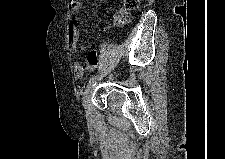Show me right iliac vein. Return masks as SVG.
I'll return each mask as SVG.
<instances>
[{
    "instance_id": "63e3f726",
    "label": "right iliac vein",
    "mask_w": 225,
    "mask_h": 159,
    "mask_svg": "<svg viewBox=\"0 0 225 159\" xmlns=\"http://www.w3.org/2000/svg\"><path fill=\"white\" fill-rule=\"evenodd\" d=\"M99 80H100V76H99ZM93 91H94V86L89 87L83 98V106H84L86 112L89 114L91 113V96H92Z\"/></svg>"
}]
</instances>
